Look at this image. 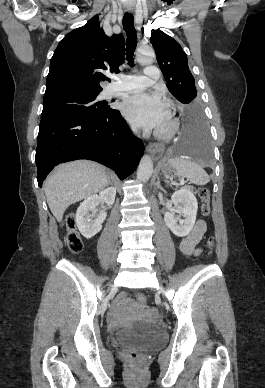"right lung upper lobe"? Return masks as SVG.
<instances>
[{
    "label": "right lung upper lobe",
    "instance_id": "cb5924a9",
    "mask_svg": "<svg viewBox=\"0 0 265 388\" xmlns=\"http://www.w3.org/2000/svg\"><path fill=\"white\" fill-rule=\"evenodd\" d=\"M125 40L100 28L98 16L68 33L58 44L50 62L44 97L68 93H99L106 70L118 73L123 64Z\"/></svg>",
    "mask_w": 265,
    "mask_h": 388
}]
</instances>
